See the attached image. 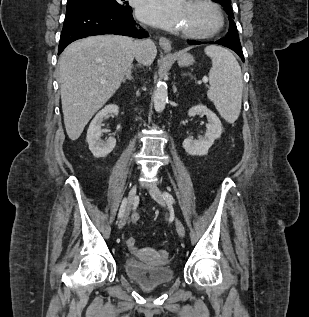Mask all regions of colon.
I'll return each mask as SVG.
<instances>
[{
  "label": "colon",
  "mask_w": 309,
  "mask_h": 317,
  "mask_svg": "<svg viewBox=\"0 0 309 317\" xmlns=\"http://www.w3.org/2000/svg\"><path fill=\"white\" fill-rule=\"evenodd\" d=\"M0 1H1V0H0ZM139 219H140V216H139V214H137V213H134V214L132 215V217H131V220H132L133 223H137V222L139 221ZM126 244H127V246H128L129 248L134 249V248H135V245H136V241H135V239H134L133 237H129V238L126 240ZM160 254H161V257H162L163 259H165V258L167 257V254H166V252H164V251H162Z\"/></svg>",
  "instance_id": "5ec220e1"
}]
</instances>
